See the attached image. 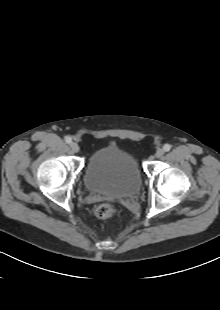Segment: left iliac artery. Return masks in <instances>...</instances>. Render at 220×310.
I'll return each mask as SVG.
<instances>
[{
  "mask_svg": "<svg viewBox=\"0 0 220 310\" xmlns=\"http://www.w3.org/2000/svg\"><path fill=\"white\" fill-rule=\"evenodd\" d=\"M163 149H164V151L168 152V151H170V149H171V145L165 144V145L163 146Z\"/></svg>",
  "mask_w": 220,
  "mask_h": 310,
  "instance_id": "1",
  "label": "left iliac artery"
}]
</instances>
